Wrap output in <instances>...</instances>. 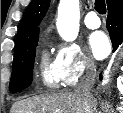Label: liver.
<instances>
[{
  "mask_svg": "<svg viewBox=\"0 0 123 113\" xmlns=\"http://www.w3.org/2000/svg\"><path fill=\"white\" fill-rule=\"evenodd\" d=\"M93 110L92 104L76 92L66 91L19 101L13 113H90Z\"/></svg>",
  "mask_w": 123,
  "mask_h": 113,
  "instance_id": "1",
  "label": "liver"
}]
</instances>
